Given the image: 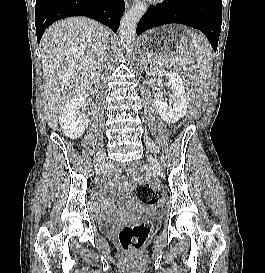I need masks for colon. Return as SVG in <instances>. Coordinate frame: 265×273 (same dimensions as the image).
<instances>
[{"instance_id": "obj_1", "label": "colon", "mask_w": 265, "mask_h": 273, "mask_svg": "<svg viewBox=\"0 0 265 273\" xmlns=\"http://www.w3.org/2000/svg\"><path fill=\"white\" fill-rule=\"evenodd\" d=\"M128 176L136 179L137 171L129 169ZM134 194L139 202L150 206L156 205L161 198V192L147 182H137L134 185ZM150 233L151 227L147 223H138L121 228L117 238L122 248L139 249L144 245Z\"/></svg>"}]
</instances>
